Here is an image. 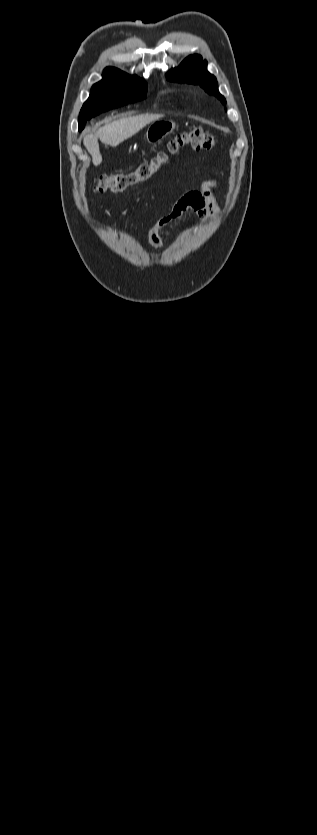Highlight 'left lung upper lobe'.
Here are the masks:
<instances>
[{
  "label": "left lung upper lobe",
  "instance_id": "left-lung-upper-lobe-1",
  "mask_svg": "<svg viewBox=\"0 0 317 835\" xmlns=\"http://www.w3.org/2000/svg\"><path fill=\"white\" fill-rule=\"evenodd\" d=\"M168 79L200 85L208 94L217 96L223 104L225 98L218 92L217 80L207 71V62L200 55H190L185 58L178 68L167 73Z\"/></svg>",
  "mask_w": 317,
  "mask_h": 835
}]
</instances>
